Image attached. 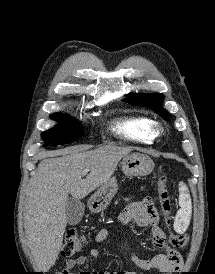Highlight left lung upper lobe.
<instances>
[{
    "label": "left lung upper lobe",
    "instance_id": "5c2ea615",
    "mask_svg": "<svg viewBox=\"0 0 215 274\" xmlns=\"http://www.w3.org/2000/svg\"><path fill=\"white\" fill-rule=\"evenodd\" d=\"M162 94H134L126 101L136 106H147L159 113L164 119L168 120V113L161 107L160 102L164 98Z\"/></svg>",
    "mask_w": 215,
    "mask_h": 274
}]
</instances>
